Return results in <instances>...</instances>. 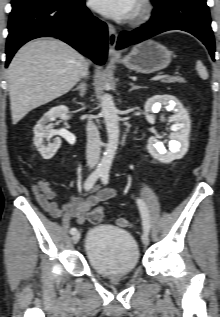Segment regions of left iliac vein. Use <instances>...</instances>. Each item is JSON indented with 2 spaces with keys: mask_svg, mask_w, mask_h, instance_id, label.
I'll return each mask as SVG.
<instances>
[{
  "mask_svg": "<svg viewBox=\"0 0 220 317\" xmlns=\"http://www.w3.org/2000/svg\"><path fill=\"white\" fill-rule=\"evenodd\" d=\"M141 239H142V242H143L144 245H148L149 244V237H148V235L146 233L142 234Z\"/></svg>",
  "mask_w": 220,
  "mask_h": 317,
  "instance_id": "obj_1",
  "label": "left iliac vein"
}]
</instances>
